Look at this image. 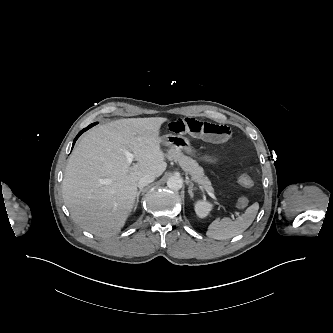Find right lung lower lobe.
Returning <instances> with one entry per match:
<instances>
[{"instance_id": "98d812e1", "label": "right lung lower lobe", "mask_w": 333, "mask_h": 333, "mask_svg": "<svg viewBox=\"0 0 333 333\" xmlns=\"http://www.w3.org/2000/svg\"><path fill=\"white\" fill-rule=\"evenodd\" d=\"M96 124H97V123H93V124L89 125L87 128H85V129H83L82 131H80V132L78 133V135L76 136V138H75V140H74V143H75V141L78 139V137H79L84 131H86L87 129L93 127V126L96 125ZM74 143H73V145H74Z\"/></svg>"}]
</instances>
